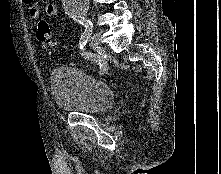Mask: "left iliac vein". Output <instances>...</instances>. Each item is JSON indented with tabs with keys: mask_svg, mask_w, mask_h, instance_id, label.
<instances>
[{
	"mask_svg": "<svg viewBox=\"0 0 221 174\" xmlns=\"http://www.w3.org/2000/svg\"><path fill=\"white\" fill-rule=\"evenodd\" d=\"M90 46L93 49H96L99 47V35L98 34H93L89 40Z\"/></svg>",
	"mask_w": 221,
	"mask_h": 174,
	"instance_id": "1",
	"label": "left iliac vein"
}]
</instances>
